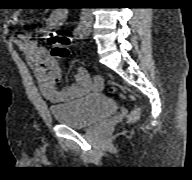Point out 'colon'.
Returning a JSON list of instances; mask_svg holds the SVG:
<instances>
[{"instance_id":"5ec220e1","label":"colon","mask_w":192,"mask_h":180,"mask_svg":"<svg viewBox=\"0 0 192 180\" xmlns=\"http://www.w3.org/2000/svg\"><path fill=\"white\" fill-rule=\"evenodd\" d=\"M48 42L51 44V55L55 58H66L69 55V50L68 46L71 43V40L68 36L56 33V32H51L48 36ZM112 92H115L117 89L115 87H112L110 89ZM124 98H128L126 95H122ZM131 98V97H129ZM139 108L135 107L131 110L129 114V121L133 122L137 120L139 117Z\"/></svg>"}]
</instances>
